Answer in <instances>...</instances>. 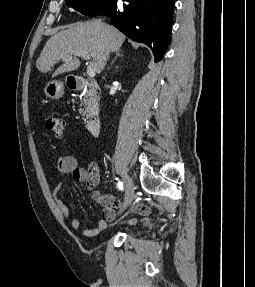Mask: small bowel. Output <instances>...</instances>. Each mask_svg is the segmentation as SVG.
I'll use <instances>...</instances> for the list:
<instances>
[{
	"label": "small bowel",
	"instance_id": "obj_1",
	"mask_svg": "<svg viewBox=\"0 0 255 287\" xmlns=\"http://www.w3.org/2000/svg\"><path fill=\"white\" fill-rule=\"evenodd\" d=\"M57 169L62 175H70L76 182H85L87 187L91 190V195L102 207V219L98 223L90 228L82 231V234L86 237H93L100 234L107 228L108 222H111L115 217V208L118 205L117 199L111 195L101 194L95 190V187L99 183V174L96 167L91 166L89 169L80 167L75 157L66 155L59 158L57 163ZM63 182H59L53 191L54 202L60 212V214L70 220V226L73 229H78L80 226L79 220L71 216L70 210L65 201L60 196V190L62 189ZM138 211L147 214L149 208L147 206H138ZM130 224L136 223V219L129 220Z\"/></svg>",
	"mask_w": 255,
	"mask_h": 287
}]
</instances>
